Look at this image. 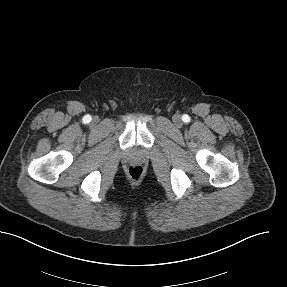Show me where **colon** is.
<instances>
[{
	"instance_id": "1",
	"label": "colon",
	"mask_w": 287,
	"mask_h": 287,
	"mask_svg": "<svg viewBox=\"0 0 287 287\" xmlns=\"http://www.w3.org/2000/svg\"><path fill=\"white\" fill-rule=\"evenodd\" d=\"M127 173L132 180H139L143 176L144 169L140 165H132L128 168Z\"/></svg>"
}]
</instances>
